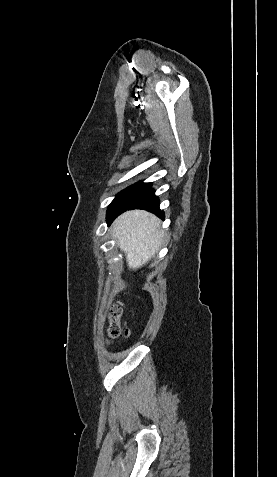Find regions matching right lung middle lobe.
<instances>
[{"label":"right lung middle lobe","instance_id":"1","mask_svg":"<svg viewBox=\"0 0 277 477\" xmlns=\"http://www.w3.org/2000/svg\"><path fill=\"white\" fill-rule=\"evenodd\" d=\"M150 186L151 183L138 182L120 192L108 206L107 222L111 223L121 212L131 206Z\"/></svg>","mask_w":277,"mask_h":477}]
</instances>
